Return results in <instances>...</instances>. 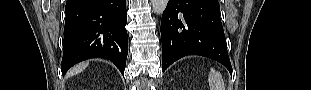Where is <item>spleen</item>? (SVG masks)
<instances>
[{"instance_id": "spleen-1", "label": "spleen", "mask_w": 311, "mask_h": 90, "mask_svg": "<svg viewBox=\"0 0 311 90\" xmlns=\"http://www.w3.org/2000/svg\"><path fill=\"white\" fill-rule=\"evenodd\" d=\"M208 81L210 90H225L222 75L213 68H211L210 70Z\"/></svg>"}]
</instances>
